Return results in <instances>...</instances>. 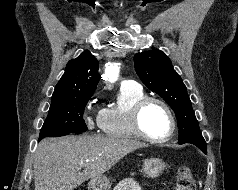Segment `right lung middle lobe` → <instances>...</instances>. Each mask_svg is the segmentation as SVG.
I'll list each match as a JSON object with an SVG mask.
<instances>
[{
  "instance_id": "dd1d6c3e",
  "label": "right lung middle lobe",
  "mask_w": 238,
  "mask_h": 190,
  "mask_svg": "<svg viewBox=\"0 0 238 190\" xmlns=\"http://www.w3.org/2000/svg\"><path fill=\"white\" fill-rule=\"evenodd\" d=\"M91 96L92 94H81L52 101L39 140L47 136H60L87 130L83 121V112Z\"/></svg>"
}]
</instances>
